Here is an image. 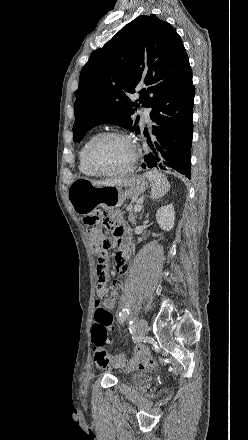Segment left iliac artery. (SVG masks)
I'll use <instances>...</instances> for the list:
<instances>
[{
    "instance_id": "44dca946",
    "label": "left iliac artery",
    "mask_w": 248,
    "mask_h": 440,
    "mask_svg": "<svg viewBox=\"0 0 248 440\" xmlns=\"http://www.w3.org/2000/svg\"><path fill=\"white\" fill-rule=\"evenodd\" d=\"M129 315H130V310H129V309H124V310L122 311V313L120 314V317H121V319H126L127 317H129ZM129 324H130V325H129V330H130V332L132 333V332L135 330V328H134V326H133L132 321H130Z\"/></svg>"
}]
</instances>
